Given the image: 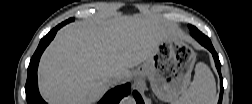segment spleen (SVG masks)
I'll return each instance as SVG.
<instances>
[{"instance_id": "spleen-1", "label": "spleen", "mask_w": 252, "mask_h": 104, "mask_svg": "<svg viewBox=\"0 0 252 104\" xmlns=\"http://www.w3.org/2000/svg\"><path fill=\"white\" fill-rule=\"evenodd\" d=\"M216 102V83L210 68L204 63L195 67L189 88L176 100L177 104H213Z\"/></svg>"}]
</instances>
